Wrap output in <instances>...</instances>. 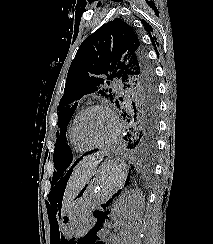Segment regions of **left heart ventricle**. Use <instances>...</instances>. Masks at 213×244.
<instances>
[{
    "label": "left heart ventricle",
    "mask_w": 213,
    "mask_h": 244,
    "mask_svg": "<svg viewBox=\"0 0 213 244\" xmlns=\"http://www.w3.org/2000/svg\"><path fill=\"white\" fill-rule=\"evenodd\" d=\"M114 128V122L107 112L92 110L84 117L80 131L88 142L100 143L112 136Z\"/></svg>",
    "instance_id": "left-heart-ventricle-1"
}]
</instances>
